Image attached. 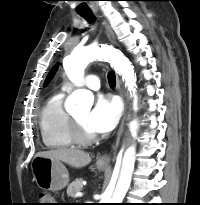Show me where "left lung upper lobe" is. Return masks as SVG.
Listing matches in <instances>:
<instances>
[{"label": "left lung upper lobe", "mask_w": 200, "mask_h": 205, "mask_svg": "<svg viewBox=\"0 0 200 205\" xmlns=\"http://www.w3.org/2000/svg\"><path fill=\"white\" fill-rule=\"evenodd\" d=\"M57 67L53 68L51 70V72L48 74L46 81H45V85L52 79V77L54 76L55 72H56Z\"/></svg>", "instance_id": "left-lung-upper-lobe-1"}]
</instances>
